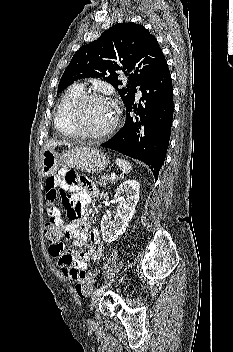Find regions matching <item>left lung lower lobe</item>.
<instances>
[{
	"label": "left lung lower lobe",
	"instance_id": "obj_1",
	"mask_svg": "<svg viewBox=\"0 0 233 352\" xmlns=\"http://www.w3.org/2000/svg\"><path fill=\"white\" fill-rule=\"evenodd\" d=\"M142 101L126 107L127 117L122 129L102 147L146 163L155 180L161 169L169 145L173 119V87L168 65L149 79L142 87ZM134 111L136 117L130 116Z\"/></svg>",
	"mask_w": 233,
	"mask_h": 352
}]
</instances>
